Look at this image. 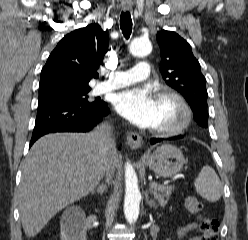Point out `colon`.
<instances>
[{
    "mask_svg": "<svg viewBox=\"0 0 248 240\" xmlns=\"http://www.w3.org/2000/svg\"><path fill=\"white\" fill-rule=\"evenodd\" d=\"M185 207L193 214H203L202 204L194 197L188 196L185 199ZM200 240H218L219 222L218 220L202 215Z\"/></svg>",
    "mask_w": 248,
    "mask_h": 240,
    "instance_id": "colon-1",
    "label": "colon"
}]
</instances>
